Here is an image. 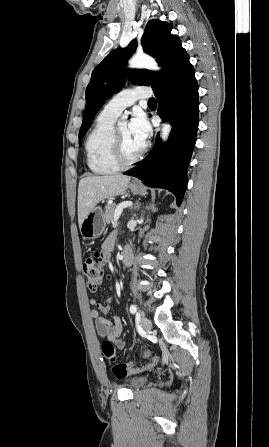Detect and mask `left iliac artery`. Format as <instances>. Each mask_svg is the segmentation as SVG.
<instances>
[{"mask_svg":"<svg viewBox=\"0 0 269 447\" xmlns=\"http://www.w3.org/2000/svg\"><path fill=\"white\" fill-rule=\"evenodd\" d=\"M130 312L132 314H135L137 312V306L136 305H131L130 306ZM136 315L140 318V314L139 313H137Z\"/></svg>","mask_w":269,"mask_h":447,"instance_id":"1","label":"left iliac artery"}]
</instances>
